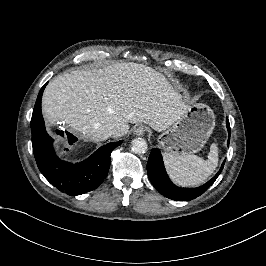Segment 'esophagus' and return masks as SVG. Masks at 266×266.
I'll return each mask as SVG.
<instances>
[{
	"mask_svg": "<svg viewBox=\"0 0 266 266\" xmlns=\"http://www.w3.org/2000/svg\"><path fill=\"white\" fill-rule=\"evenodd\" d=\"M146 132V128L143 125H139L135 130L134 134L137 136H143Z\"/></svg>",
	"mask_w": 266,
	"mask_h": 266,
	"instance_id": "esophagus-1",
	"label": "esophagus"
}]
</instances>
